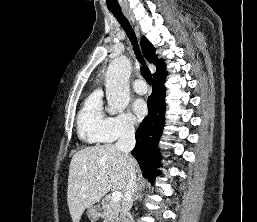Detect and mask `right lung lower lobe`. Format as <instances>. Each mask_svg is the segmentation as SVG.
Segmentation results:
<instances>
[{"label": "right lung lower lobe", "mask_w": 257, "mask_h": 222, "mask_svg": "<svg viewBox=\"0 0 257 222\" xmlns=\"http://www.w3.org/2000/svg\"><path fill=\"white\" fill-rule=\"evenodd\" d=\"M165 76L166 72L153 76V92L148 99L149 115L141 122L136 131V146L132 150V155L138 161L143 176L152 183L158 174V171L154 169L160 165L157 143L164 127Z\"/></svg>", "instance_id": "98d812e1"}]
</instances>
